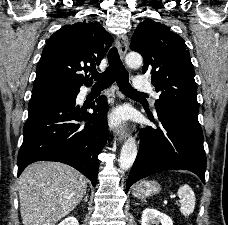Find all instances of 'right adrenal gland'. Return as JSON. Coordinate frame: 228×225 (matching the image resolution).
Returning <instances> with one entry per match:
<instances>
[{
    "label": "right adrenal gland",
    "instance_id": "2a0ac1e0",
    "mask_svg": "<svg viewBox=\"0 0 228 225\" xmlns=\"http://www.w3.org/2000/svg\"><path fill=\"white\" fill-rule=\"evenodd\" d=\"M83 201H85V203H87V201H88L87 195H86L85 199H83Z\"/></svg>",
    "mask_w": 228,
    "mask_h": 225
}]
</instances>
